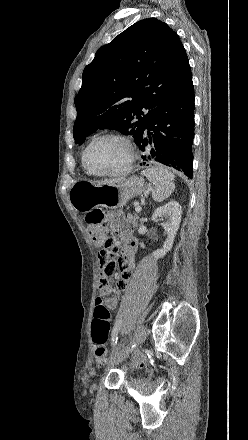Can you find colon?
Listing matches in <instances>:
<instances>
[{
  "mask_svg": "<svg viewBox=\"0 0 248 440\" xmlns=\"http://www.w3.org/2000/svg\"><path fill=\"white\" fill-rule=\"evenodd\" d=\"M105 212L102 209H94L87 213L86 221L90 225L89 232L93 242L99 247L98 257L109 258L118 254L119 245L115 238L109 234L105 224ZM114 279V278H113ZM112 316L103 303H97L92 322V337L95 343V358L102 362L106 357L105 343L111 329Z\"/></svg>",
  "mask_w": 248,
  "mask_h": 440,
  "instance_id": "5ec220e1",
  "label": "colon"
}]
</instances>
